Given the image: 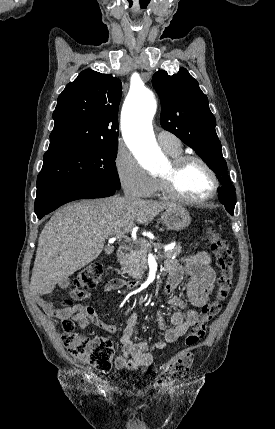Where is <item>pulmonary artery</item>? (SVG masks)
I'll return each mask as SVG.
<instances>
[{
	"instance_id": "pulmonary-artery-1",
	"label": "pulmonary artery",
	"mask_w": 275,
	"mask_h": 429,
	"mask_svg": "<svg viewBox=\"0 0 275 429\" xmlns=\"http://www.w3.org/2000/svg\"><path fill=\"white\" fill-rule=\"evenodd\" d=\"M157 139L164 150L174 151L181 148L180 140L175 135L167 131H160L157 134Z\"/></svg>"
}]
</instances>
